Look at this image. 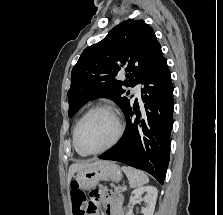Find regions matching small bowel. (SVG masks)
<instances>
[{
    "instance_id": "small-bowel-1",
    "label": "small bowel",
    "mask_w": 223,
    "mask_h": 215,
    "mask_svg": "<svg viewBox=\"0 0 223 215\" xmlns=\"http://www.w3.org/2000/svg\"><path fill=\"white\" fill-rule=\"evenodd\" d=\"M99 205H103L106 215H123L122 198L103 186H97L91 191L86 215H97Z\"/></svg>"
}]
</instances>
